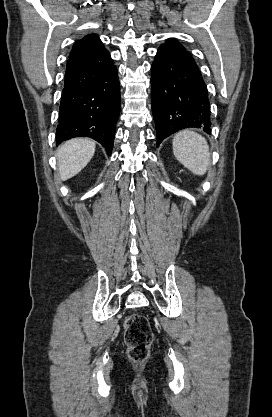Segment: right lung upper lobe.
Instances as JSON below:
<instances>
[{
	"label": "right lung upper lobe",
	"instance_id": "cb5924a9",
	"mask_svg": "<svg viewBox=\"0 0 272 417\" xmlns=\"http://www.w3.org/2000/svg\"><path fill=\"white\" fill-rule=\"evenodd\" d=\"M99 43H101V41L99 40L97 35L95 34L87 35L83 37V39L78 40L74 43L73 48L70 52V57L82 55L90 51Z\"/></svg>",
	"mask_w": 272,
	"mask_h": 417
}]
</instances>
